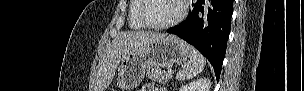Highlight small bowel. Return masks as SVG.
<instances>
[{
    "label": "small bowel",
    "instance_id": "c3829d8e",
    "mask_svg": "<svg viewBox=\"0 0 304 91\" xmlns=\"http://www.w3.org/2000/svg\"><path fill=\"white\" fill-rule=\"evenodd\" d=\"M141 91H163V89L162 88H157L153 85H145V86H143Z\"/></svg>",
    "mask_w": 304,
    "mask_h": 91
}]
</instances>
